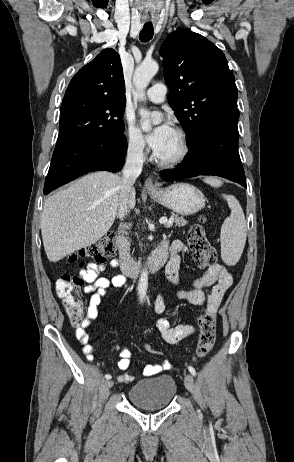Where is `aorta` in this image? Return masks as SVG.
Instances as JSON below:
<instances>
[{"label":"aorta","instance_id":"1","mask_svg":"<svg viewBox=\"0 0 294 462\" xmlns=\"http://www.w3.org/2000/svg\"><path fill=\"white\" fill-rule=\"evenodd\" d=\"M158 69V63L154 60H144L139 66L136 67L133 76V83L136 87L134 99L141 100L145 98V89L147 88L150 80L158 72ZM140 114L147 115L148 112L146 110H141ZM148 129L149 128H147L146 130ZM147 289L148 272L147 270H143L137 285V292L140 303H143L145 301Z\"/></svg>","mask_w":294,"mask_h":462}]
</instances>
